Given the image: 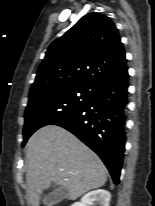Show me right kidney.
<instances>
[{"instance_id": "right-kidney-1", "label": "right kidney", "mask_w": 155, "mask_h": 206, "mask_svg": "<svg viewBox=\"0 0 155 206\" xmlns=\"http://www.w3.org/2000/svg\"><path fill=\"white\" fill-rule=\"evenodd\" d=\"M110 199L111 195L108 191L98 189L88 192L79 202H76L71 206H90L92 204L97 206H109Z\"/></svg>"}]
</instances>
